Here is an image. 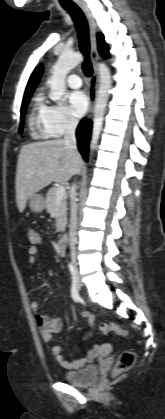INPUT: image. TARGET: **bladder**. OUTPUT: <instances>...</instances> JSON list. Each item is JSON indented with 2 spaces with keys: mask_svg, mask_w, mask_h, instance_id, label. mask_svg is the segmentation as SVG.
I'll return each instance as SVG.
<instances>
[{
  "mask_svg": "<svg viewBox=\"0 0 165 419\" xmlns=\"http://www.w3.org/2000/svg\"><path fill=\"white\" fill-rule=\"evenodd\" d=\"M64 380L74 386H86L99 377V367L95 365L86 366L79 370L65 371L62 374Z\"/></svg>",
  "mask_w": 165,
  "mask_h": 419,
  "instance_id": "31cf9c89",
  "label": "bladder"
}]
</instances>
